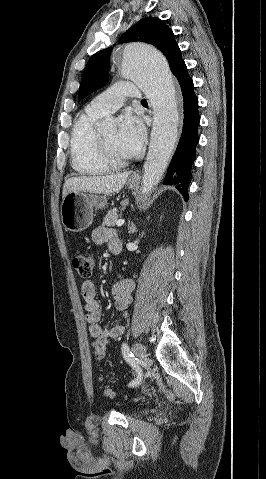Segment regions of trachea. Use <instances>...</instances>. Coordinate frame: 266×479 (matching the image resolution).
I'll use <instances>...</instances> for the list:
<instances>
[{
    "mask_svg": "<svg viewBox=\"0 0 266 479\" xmlns=\"http://www.w3.org/2000/svg\"><path fill=\"white\" fill-rule=\"evenodd\" d=\"M141 102H146V100H145V99H142Z\"/></svg>",
    "mask_w": 266,
    "mask_h": 479,
    "instance_id": "obj_1",
    "label": "trachea"
}]
</instances>
